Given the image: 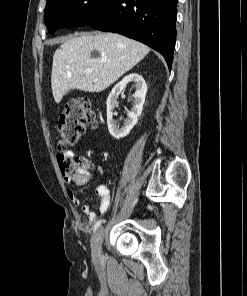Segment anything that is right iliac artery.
<instances>
[{"label": "right iliac artery", "mask_w": 247, "mask_h": 296, "mask_svg": "<svg viewBox=\"0 0 247 296\" xmlns=\"http://www.w3.org/2000/svg\"><path fill=\"white\" fill-rule=\"evenodd\" d=\"M136 202H137V199L134 201L133 205H135ZM101 223H102V220H98V221L94 224V228H93V230L96 231V230L99 228V226L101 225Z\"/></svg>", "instance_id": "1"}]
</instances>
